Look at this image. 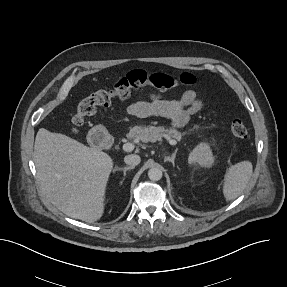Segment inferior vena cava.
<instances>
[{
	"label": "inferior vena cava",
	"mask_w": 287,
	"mask_h": 287,
	"mask_svg": "<svg viewBox=\"0 0 287 287\" xmlns=\"http://www.w3.org/2000/svg\"><path fill=\"white\" fill-rule=\"evenodd\" d=\"M141 161L140 156L136 155V154H131V155H127L124 158V162L127 165H130L132 167H135L136 165H138Z\"/></svg>",
	"instance_id": "602c4592"
}]
</instances>
